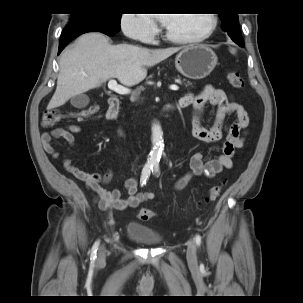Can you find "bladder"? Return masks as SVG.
<instances>
[{
  "label": "bladder",
  "mask_w": 303,
  "mask_h": 303,
  "mask_svg": "<svg viewBox=\"0 0 303 303\" xmlns=\"http://www.w3.org/2000/svg\"><path fill=\"white\" fill-rule=\"evenodd\" d=\"M127 236L148 246H156L164 241L163 236L148 226L137 222H131L128 224Z\"/></svg>",
  "instance_id": "31cf9c89"
}]
</instances>
